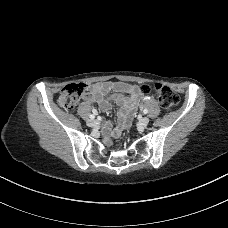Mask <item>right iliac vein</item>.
<instances>
[{
    "label": "right iliac vein",
    "mask_w": 228,
    "mask_h": 228,
    "mask_svg": "<svg viewBox=\"0 0 228 228\" xmlns=\"http://www.w3.org/2000/svg\"><path fill=\"white\" fill-rule=\"evenodd\" d=\"M98 124V121L95 119H90L87 121V125L90 127L96 126Z\"/></svg>",
    "instance_id": "obj_1"
}]
</instances>
